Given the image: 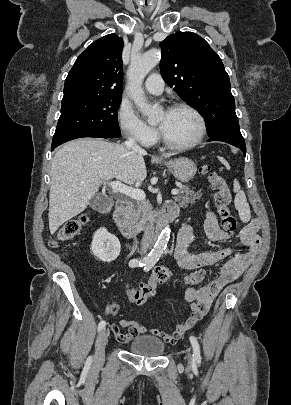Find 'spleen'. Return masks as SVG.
Masks as SVG:
<instances>
[{"label": "spleen", "mask_w": 291, "mask_h": 405, "mask_svg": "<svg viewBox=\"0 0 291 405\" xmlns=\"http://www.w3.org/2000/svg\"><path fill=\"white\" fill-rule=\"evenodd\" d=\"M220 162L229 170V163L223 158L218 157ZM233 190L236 193L234 204L235 208L238 210L239 216L242 220L247 221L250 219V208L247 203L246 195L243 190H241L239 182L235 179L233 184Z\"/></svg>", "instance_id": "1"}]
</instances>
